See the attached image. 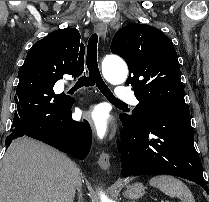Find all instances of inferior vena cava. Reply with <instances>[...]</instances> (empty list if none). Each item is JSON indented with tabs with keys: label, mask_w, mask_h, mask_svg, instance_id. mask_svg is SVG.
I'll list each match as a JSON object with an SVG mask.
<instances>
[{
	"label": "inferior vena cava",
	"mask_w": 209,
	"mask_h": 202,
	"mask_svg": "<svg viewBox=\"0 0 209 202\" xmlns=\"http://www.w3.org/2000/svg\"><path fill=\"white\" fill-rule=\"evenodd\" d=\"M80 189H81V181L77 185V190L79 193H80ZM79 197H81V194H79Z\"/></svg>",
	"instance_id": "inferior-vena-cava-1"
}]
</instances>
